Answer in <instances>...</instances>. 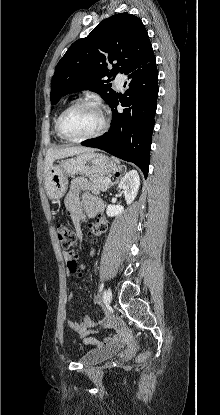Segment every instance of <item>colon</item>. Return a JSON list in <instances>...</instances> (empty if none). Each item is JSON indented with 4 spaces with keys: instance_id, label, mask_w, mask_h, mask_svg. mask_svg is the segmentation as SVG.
<instances>
[{
    "instance_id": "1",
    "label": "colon",
    "mask_w": 220,
    "mask_h": 415,
    "mask_svg": "<svg viewBox=\"0 0 220 415\" xmlns=\"http://www.w3.org/2000/svg\"><path fill=\"white\" fill-rule=\"evenodd\" d=\"M57 236L61 246L67 252L68 269L71 274L75 275L77 273V260L79 258L76 236L66 224L57 225Z\"/></svg>"
}]
</instances>
